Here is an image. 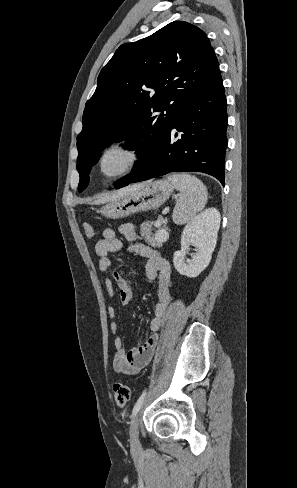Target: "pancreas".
I'll list each match as a JSON object with an SVG mask.
<instances>
[{
	"mask_svg": "<svg viewBox=\"0 0 297 488\" xmlns=\"http://www.w3.org/2000/svg\"><path fill=\"white\" fill-rule=\"evenodd\" d=\"M158 223H160V224H165V220H164L162 217H159V219H158ZM153 224H154V222H151V221H148V222H146V223H145V225H147V226H151V225H153ZM155 236H156V235H154V236H153V235H152V233H151L150 231H148L147 240H148L150 243H152V244H154V245L158 246V245H159V242H156V240H155V238H154Z\"/></svg>",
	"mask_w": 297,
	"mask_h": 488,
	"instance_id": "pancreas-1",
	"label": "pancreas"
}]
</instances>
